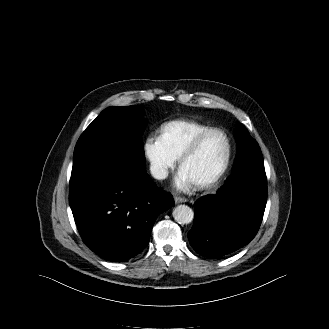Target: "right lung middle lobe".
<instances>
[{
    "mask_svg": "<svg viewBox=\"0 0 329 329\" xmlns=\"http://www.w3.org/2000/svg\"><path fill=\"white\" fill-rule=\"evenodd\" d=\"M143 115V110L134 106L102 111L77 141L71 178L102 166L129 175L145 172Z\"/></svg>",
    "mask_w": 329,
    "mask_h": 329,
    "instance_id": "1",
    "label": "right lung middle lobe"
}]
</instances>
